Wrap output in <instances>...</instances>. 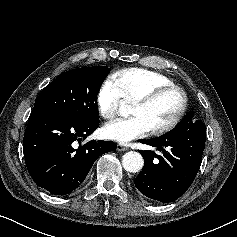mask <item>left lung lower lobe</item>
Here are the masks:
<instances>
[{
  "mask_svg": "<svg viewBox=\"0 0 237 237\" xmlns=\"http://www.w3.org/2000/svg\"><path fill=\"white\" fill-rule=\"evenodd\" d=\"M193 116L184 118L167 134L140 140L157 150H139L144 168L135 186L143 195L169 203L182 196L194 181L205 148L206 126Z\"/></svg>",
  "mask_w": 237,
  "mask_h": 237,
  "instance_id": "left-lung-lower-lobe-1",
  "label": "left lung lower lobe"
}]
</instances>
